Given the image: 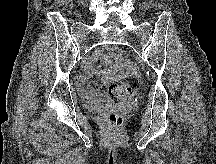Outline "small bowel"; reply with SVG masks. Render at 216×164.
<instances>
[{
    "instance_id": "1",
    "label": "small bowel",
    "mask_w": 216,
    "mask_h": 164,
    "mask_svg": "<svg viewBox=\"0 0 216 164\" xmlns=\"http://www.w3.org/2000/svg\"><path fill=\"white\" fill-rule=\"evenodd\" d=\"M102 67H96L90 63L86 67L88 78L80 77L78 80L83 96L95 106H103L107 103V96L99 90V80H116L127 77L135 73V68L127 61L122 59L121 51L111 48L108 52L100 55Z\"/></svg>"
}]
</instances>
